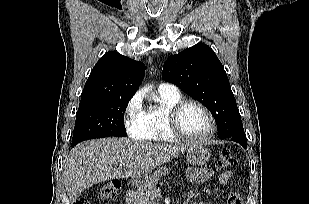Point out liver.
Segmentation results:
<instances>
[{
  "instance_id": "6515ba94",
  "label": "liver",
  "mask_w": 309,
  "mask_h": 204,
  "mask_svg": "<svg viewBox=\"0 0 309 204\" xmlns=\"http://www.w3.org/2000/svg\"><path fill=\"white\" fill-rule=\"evenodd\" d=\"M189 145H160L129 138L85 141L65 158L63 176L71 202L95 184L147 174L179 154Z\"/></svg>"
}]
</instances>
